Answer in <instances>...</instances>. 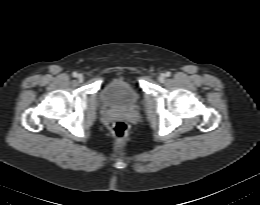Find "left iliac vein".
Instances as JSON below:
<instances>
[{"label": "left iliac vein", "mask_w": 260, "mask_h": 205, "mask_svg": "<svg viewBox=\"0 0 260 205\" xmlns=\"http://www.w3.org/2000/svg\"><path fill=\"white\" fill-rule=\"evenodd\" d=\"M158 80H159L160 82H164V80H165V74H160L159 77H158Z\"/></svg>", "instance_id": "left-iliac-vein-1"}]
</instances>
